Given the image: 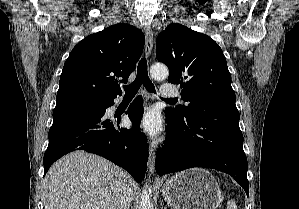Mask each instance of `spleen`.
Instances as JSON below:
<instances>
[{"instance_id":"1","label":"spleen","mask_w":299,"mask_h":209,"mask_svg":"<svg viewBox=\"0 0 299 209\" xmlns=\"http://www.w3.org/2000/svg\"><path fill=\"white\" fill-rule=\"evenodd\" d=\"M227 209H237L236 203L233 200L227 202Z\"/></svg>"}]
</instances>
